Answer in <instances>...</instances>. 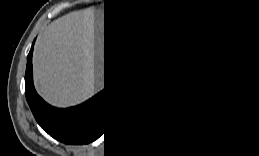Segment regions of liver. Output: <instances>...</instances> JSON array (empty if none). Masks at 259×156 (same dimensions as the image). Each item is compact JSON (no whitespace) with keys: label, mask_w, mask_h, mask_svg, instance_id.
<instances>
[{"label":"liver","mask_w":259,"mask_h":156,"mask_svg":"<svg viewBox=\"0 0 259 156\" xmlns=\"http://www.w3.org/2000/svg\"><path fill=\"white\" fill-rule=\"evenodd\" d=\"M103 74V19L89 11H74L53 21L35 44V88L51 105L83 102L103 87Z\"/></svg>","instance_id":"obj_1"}]
</instances>
